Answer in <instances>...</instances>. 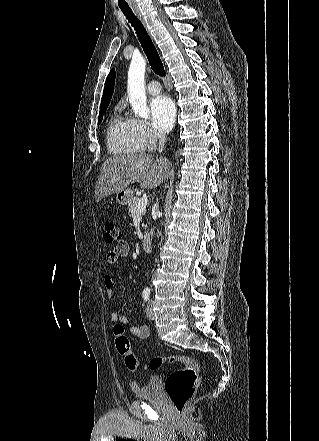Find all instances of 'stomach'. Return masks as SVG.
I'll return each instance as SVG.
<instances>
[{
    "label": "stomach",
    "instance_id": "stomach-1",
    "mask_svg": "<svg viewBox=\"0 0 319 441\" xmlns=\"http://www.w3.org/2000/svg\"><path fill=\"white\" fill-rule=\"evenodd\" d=\"M133 199V192L131 189H123L117 192L116 200L120 205H127Z\"/></svg>",
    "mask_w": 319,
    "mask_h": 441
}]
</instances>
